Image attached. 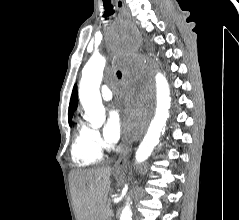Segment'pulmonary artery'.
Here are the masks:
<instances>
[{"label": "pulmonary artery", "instance_id": "1", "mask_svg": "<svg viewBox=\"0 0 239 220\" xmlns=\"http://www.w3.org/2000/svg\"><path fill=\"white\" fill-rule=\"evenodd\" d=\"M101 96L105 101H109L113 97V93L108 85H103L101 87Z\"/></svg>", "mask_w": 239, "mask_h": 220}]
</instances>
